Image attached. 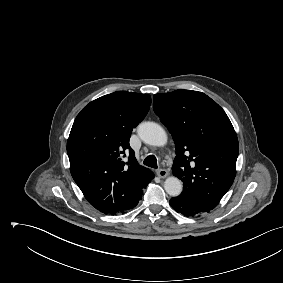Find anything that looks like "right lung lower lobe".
I'll return each instance as SVG.
<instances>
[{"label": "right lung lower lobe", "mask_w": 283, "mask_h": 283, "mask_svg": "<svg viewBox=\"0 0 283 283\" xmlns=\"http://www.w3.org/2000/svg\"><path fill=\"white\" fill-rule=\"evenodd\" d=\"M154 175L152 176V178L148 179V181L150 182L153 179Z\"/></svg>", "instance_id": "1"}]
</instances>
